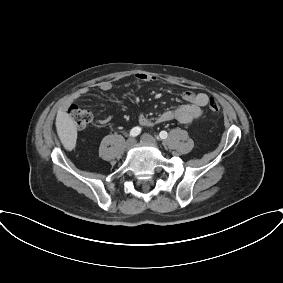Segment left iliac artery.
<instances>
[{
	"mask_svg": "<svg viewBox=\"0 0 283 283\" xmlns=\"http://www.w3.org/2000/svg\"><path fill=\"white\" fill-rule=\"evenodd\" d=\"M167 136H168V134H167V132L166 131H161L160 133H159V138L160 139H166L167 138Z\"/></svg>",
	"mask_w": 283,
	"mask_h": 283,
	"instance_id": "obj_1",
	"label": "left iliac artery"
}]
</instances>
